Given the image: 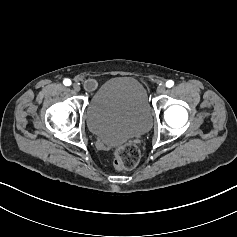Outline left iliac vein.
Masks as SVG:
<instances>
[{
    "instance_id": "4c4485c4",
    "label": "left iliac vein",
    "mask_w": 237,
    "mask_h": 237,
    "mask_svg": "<svg viewBox=\"0 0 237 237\" xmlns=\"http://www.w3.org/2000/svg\"><path fill=\"white\" fill-rule=\"evenodd\" d=\"M165 91H166L165 85H160V86H158L157 92H158L159 94H164Z\"/></svg>"
}]
</instances>
